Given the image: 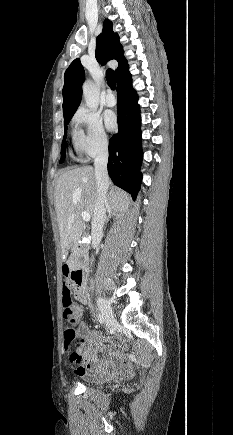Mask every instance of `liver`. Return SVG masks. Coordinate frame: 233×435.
<instances>
[{
	"label": "liver",
	"instance_id": "6515ba94",
	"mask_svg": "<svg viewBox=\"0 0 233 435\" xmlns=\"http://www.w3.org/2000/svg\"><path fill=\"white\" fill-rule=\"evenodd\" d=\"M97 199L95 170L91 166L78 167L62 173L55 185V210L60 233L62 253L77 240L83 231L82 212L94 216ZM130 205V196L112 188L107 195V210L118 216L125 214Z\"/></svg>",
	"mask_w": 233,
	"mask_h": 435
}]
</instances>
